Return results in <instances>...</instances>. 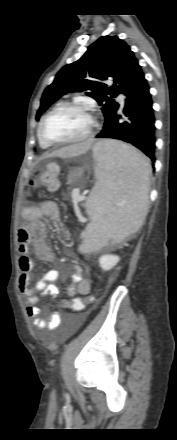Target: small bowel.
<instances>
[{
    "instance_id": "small-bowel-1",
    "label": "small bowel",
    "mask_w": 177,
    "mask_h": 440,
    "mask_svg": "<svg viewBox=\"0 0 177 440\" xmlns=\"http://www.w3.org/2000/svg\"><path fill=\"white\" fill-rule=\"evenodd\" d=\"M22 215L26 219L27 224L18 229L19 267L21 270L19 288L26 300V314L34 327L54 330L61 325L64 316L60 312H54L47 322L43 321L40 318L41 310L38 306L39 297L37 293L50 296L52 299L58 298L60 296V289L55 282L60 277V271L57 269L49 270L31 286L33 260L30 254V242H32L35 253L40 260L46 262L55 260L46 235L43 219L48 218L53 222H58L60 218L59 208L56 203L45 201L26 206L22 211ZM90 290L91 282L89 277L85 276L84 270L81 267L75 266L67 288V295L71 298H77L75 297L76 294L85 296L90 293Z\"/></svg>"
}]
</instances>
